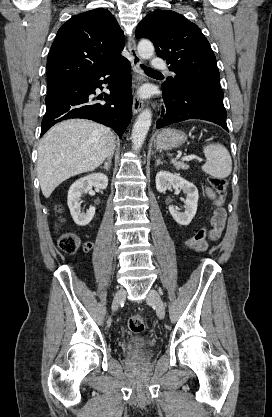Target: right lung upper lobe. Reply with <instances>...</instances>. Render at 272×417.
Instances as JSON below:
<instances>
[{
    "mask_svg": "<svg viewBox=\"0 0 272 417\" xmlns=\"http://www.w3.org/2000/svg\"><path fill=\"white\" fill-rule=\"evenodd\" d=\"M124 33L106 9L70 18L57 32L47 61V87L106 68L122 56Z\"/></svg>",
    "mask_w": 272,
    "mask_h": 417,
    "instance_id": "cb5924a9",
    "label": "right lung upper lobe"
}]
</instances>
